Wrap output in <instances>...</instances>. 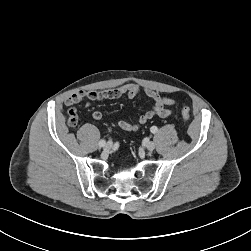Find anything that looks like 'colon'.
Returning a JSON list of instances; mask_svg holds the SVG:
<instances>
[{
	"instance_id": "obj_1",
	"label": "colon",
	"mask_w": 251,
	"mask_h": 251,
	"mask_svg": "<svg viewBox=\"0 0 251 251\" xmlns=\"http://www.w3.org/2000/svg\"><path fill=\"white\" fill-rule=\"evenodd\" d=\"M181 115L184 120L188 121L191 117L190 109L187 106H183L181 109ZM68 125L73 126L77 123V114L75 110L71 109L69 111V118L67 120Z\"/></svg>"
}]
</instances>
